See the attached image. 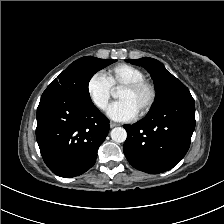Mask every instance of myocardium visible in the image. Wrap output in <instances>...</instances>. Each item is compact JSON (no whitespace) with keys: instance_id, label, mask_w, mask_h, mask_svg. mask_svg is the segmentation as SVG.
Masks as SVG:
<instances>
[{"instance_id":"1","label":"myocardium","mask_w":224,"mask_h":224,"mask_svg":"<svg viewBox=\"0 0 224 224\" xmlns=\"http://www.w3.org/2000/svg\"><path fill=\"white\" fill-rule=\"evenodd\" d=\"M121 89H126L133 92L141 89L147 91L148 97L146 102L138 112L139 116L146 115L152 109L157 99V89L155 85L145 79L126 83L121 86Z\"/></svg>"}]
</instances>
